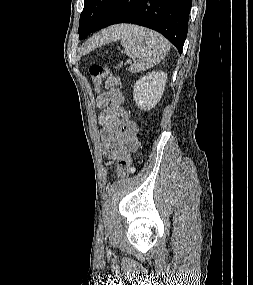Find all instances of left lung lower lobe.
I'll list each match as a JSON object with an SVG mask.
<instances>
[{"label": "left lung lower lobe", "mask_w": 253, "mask_h": 285, "mask_svg": "<svg viewBox=\"0 0 253 285\" xmlns=\"http://www.w3.org/2000/svg\"><path fill=\"white\" fill-rule=\"evenodd\" d=\"M192 0H112L92 32L109 25L132 23L158 31L182 52Z\"/></svg>", "instance_id": "left-lung-lower-lobe-1"}]
</instances>
